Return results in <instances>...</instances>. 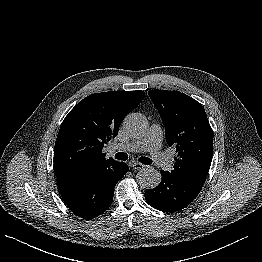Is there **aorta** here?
Here are the masks:
<instances>
[{
  "label": "aorta",
  "mask_w": 262,
  "mask_h": 262,
  "mask_svg": "<svg viewBox=\"0 0 262 262\" xmlns=\"http://www.w3.org/2000/svg\"><path fill=\"white\" fill-rule=\"evenodd\" d=\"M125 131L132 137H139L146 130V120L140 113L128 114L124 121ZM138 184L145 189L157 187L161 182V174L158 170L149 167L141 170L136 176Z\"/></svg>",
  "instance_id": "762f6f07"
}]
</instances>
